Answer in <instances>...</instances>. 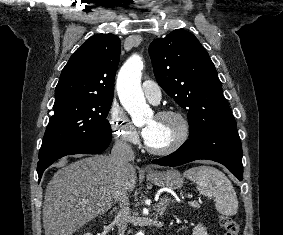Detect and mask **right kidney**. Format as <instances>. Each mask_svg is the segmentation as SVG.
I'll return each instance as SVG.
<instances>
[{"instance_id":"right-kidney-1","label":"right kidney","mask_w":283,"mask_h":235,"mask_svg":"<svg viewBox=\"0 0 283 235\" xmlns=\"http://www.w3.org/2000/svg\"><path fill=\"white\" fill-rule=\"evenodd\" d=\"M84 235H92L91 233H86V234H84Z\"/></svg>"}]
</instances>
